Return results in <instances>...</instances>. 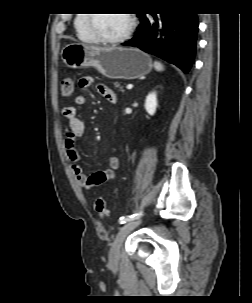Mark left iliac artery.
<instances>
[{"label":"left iliac artery","instance_id":"left-iliac-artery-1","mask_svg":"<svg viewBox=\"0 0 252 303\" xmlns=\"http://www.w3.org/2000/svg\"><path fill=\"white\" fill-rule=\"evenodd\" d=\"M141 215H142V212H140V213H138V214H133V215H130V216L121 217V218L119 219V223H120V224H124V223H126V222H130V221H132V220H134V219L139 218Z\"/></svg>","mask_w":252,"mask_h":303}]
</instances>
